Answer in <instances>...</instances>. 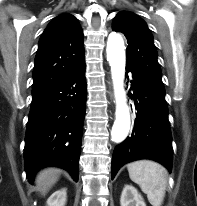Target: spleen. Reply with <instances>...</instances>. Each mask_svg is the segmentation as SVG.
<instances>
[{
    "label": "spleen",
    "instance_id": "spleen-1",
    "mask_svg": "<svg viewBox=\"0 0 197 206\" xmlns=\"http://www.w3.org/2000/svg\"><path fill=\"white\" fill-rule=\"evenodd\" d=\"M130 179L147 195L152 206H160L167 186L166 169L151 160H138L127 165Z\"/></svg>",
    "mask_w": 197,
    "mask_h": 206
}]
</instances>
